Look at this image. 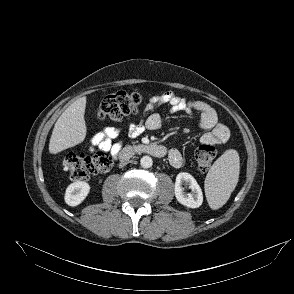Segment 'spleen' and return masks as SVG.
Returning a JSON list of instances; mask_svg holds the SVG:
<instances>
[{
	"label": "spleen",
	"mask_w": 294,
	"mask_h": 294,
	"mask_svg": "<svg viewBox=\"0 0 294 294\" xmlns=\"http://www.w3.org/2000/svg\"><path fill=\"white\" fill-rule=\"evenodd\" d=\"M239 170V155L233 149L214 162L205 179V193L212 209H218L228 201L238 183Z\"/></svg>",
	"instance_id": "obj_1"
}]
</instances>
